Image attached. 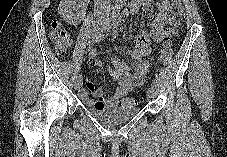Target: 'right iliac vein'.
Segmentation results:
<instances>
[{"label": "right iliac vein", "instance_id": "1", "mask_svg": "<svg viewBox=\"0 0 227 157\" xmlns=\"http://www.w3.org/2000/svg\"><path fill=\"white\" fill-rule=\"evenodd\" d=\"M81 86H82V81H81V79L77 78V79L74 81V88H75L76 90H79V89L81 88Z\"/></svg>", "mask_w": 227, "mask_h": 157}]
</instances>
